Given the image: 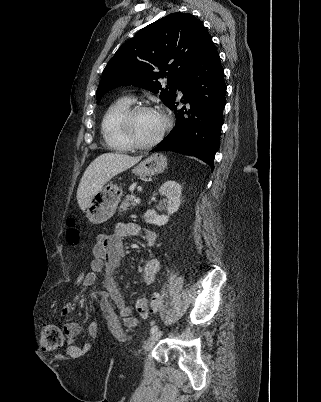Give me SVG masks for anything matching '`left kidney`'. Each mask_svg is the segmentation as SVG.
<instances>
[{
    "label": "left kidney",
    "mask_w": 321,
    "mask_h": 402,
    "mask_svg": "<svg viewBox=\"0 0 321 402\" xmlns=\"http://www.w3.org/2000/svg\"><path fill=\"white\" fill-rule=\"evenodd\" d=\"M181 186L176 181L168 180L159 188V193L168 199L167 215H158L153 210H147L144 214L147 223L162 226L167 224L169 216L177 212L180 206Z\"/></svg>",
    "instance_id": "obj_1"
}]
</instances>
